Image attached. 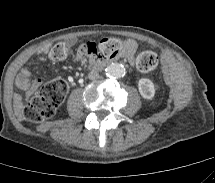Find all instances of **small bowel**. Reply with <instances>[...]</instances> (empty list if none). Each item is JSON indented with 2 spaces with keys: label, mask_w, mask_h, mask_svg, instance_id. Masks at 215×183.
Instances as JSON below:
<instances>
[{
  "label": "small bowel",
  "mask_w": 215,
  "mask_h": 183,
  "mask_svg": "<svg viewBox=\"0 0 215 183\" xmlns=\"http://www.w3.org/2000/svg\"><path fill=\"white\" fill-rule=\"evenodd\" d=\"M136 48V44L133 40H127L125 42V49H124V55L125 57L132 62L134 59V50ZM48 51V46L42 47L38 54H45ZM86 58V54L79 49V52L77 54L78 60H83ZM41 84V80L38 78H34L30 71L27 69H23L20 74L18 75L16 79V86L23 92V96L16 94L14 96V102L18 109L22 107L24 104L25 99L29 98L31 95L35 93V91L38 89V87Z\"/></svg>",
  "instance_id": "small-bowel-1"
}]
</instances>
